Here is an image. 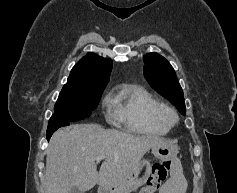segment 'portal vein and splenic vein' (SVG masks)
<instances>
[{"label":"portal vein and splenic vein","instance_id":"obj_1","mask_svg":"<svg viewBox=\"0 0 237 193\" xmlns=\"http://www.w3.org/2000/svg\"><path fill=\"white\" fill-rule=\"evenodd\" d=\"M105 158H106L105 155H100V156L97 158V161L103 160V159H105Z\"/></svg>","mask_w":237,"mask_h":193}]
</instances>
